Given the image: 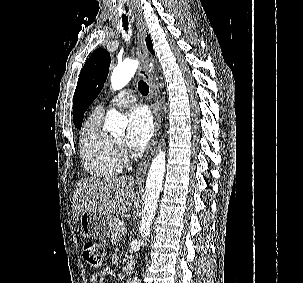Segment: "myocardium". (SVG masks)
Instances as JSON below:
<instances>
[{
    "instance_id": "1",
    "label": "myocardium",
    "mask_w": 303,
    "mask_h": 283,
    "mask_svg": "<svg viewBox=\"0 0 303 283\" xmlns=\"http://www.w3.org/2000/svg\"><path fill=\"white\" fill-rule=\"evenodd\" d=\"M115 142L117 144V147L119 149L120 155H121L122 160H123L125 158V155H124V152H123V149H122V142H121V140H118V139H115Z\"/></svg>"
}]
</instances>
